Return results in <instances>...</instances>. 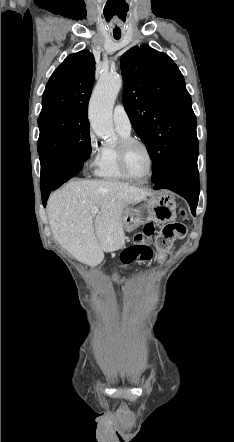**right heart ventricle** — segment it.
<instances>
[{"label":"right heart ventricle","instance_id":"e07e8e85","mask_svg":"<svg viewBox=\"0 0 234 442\" xmlns=\"http://www.w3.org/2000/svg\"><path fill=\"white\" fill-rule=\"evenodd\" d=\"M120 141L130 137V134L117 130ZM96 175L109 181H126L128 178L121 172L118 165L117 145L104 146L96 166Z\"/></svg>","mask_w":234,"mask_h":442}]
</instances>
